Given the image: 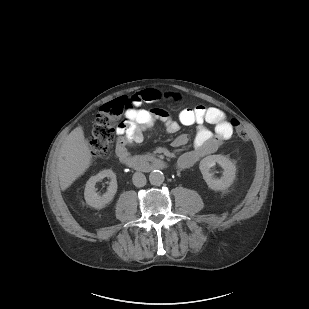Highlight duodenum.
I'll return each instance as SVG.
<instances>
[{
    "instance_id": "obj_1",
    "label": "duodenum",
    "mask_w": 309,
    "mask_h": 309,
    "mask_svg": "<svg viewBox=\"0 0 309 309\" xmlns=\"http://www.w3.org/2000/svg\"><path fill=\"white\" fill-rule=\"evenodd\" d=\"M123 163L126 167L141 170V171H156V170H163L166 168V163L157 158V157H144V158H125Z\"/></svg>"
}]
</instances>
